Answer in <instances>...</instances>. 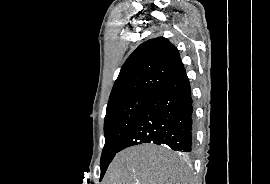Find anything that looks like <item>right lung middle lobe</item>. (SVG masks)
<instances>
[{"mask_svg":"<svg viewBox=\"0 0 270 184\" xmlns=\"http://www.w3.org/2000/svg\"><path fill=\"white\" fill-rule=\"evenodd\" d=\"M148 97L146 95H134L108 103L104 121L105 145L100 162V179H102L115 154L119 152L121 142L130 130Z\"/></svg>","mask_w":270,"mask_h":184,"instance_id":"right-lung-middle-lobe-1","label":"right lung middle lobe"}]
</instances>
